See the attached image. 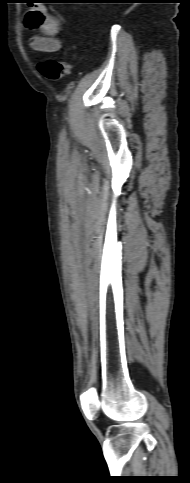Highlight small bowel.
Segmentation results:
<instances>
[{
	"mask_svg": "<svg viewBox=\"0 0 190 483\" xmlns=\"http://www.w3.org/2000/svg\"><path fill=\"white\" fill-rule=\"evenodd\" d=\"M25 24L29 29L39 30L42 35H35L30 39V46L34 51L54 53L60 50L61 41L58 38L60 25L58 21L44 11H28Z\"/></svg>",
	"mask_w": 190,
	"mask_h": 483,
	"instance_id": "small-bowel-1",
	"label": "small bowel"
}]
</instances>
